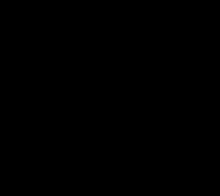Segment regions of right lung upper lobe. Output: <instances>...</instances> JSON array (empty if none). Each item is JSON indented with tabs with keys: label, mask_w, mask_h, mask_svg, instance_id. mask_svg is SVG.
<instances>
[{
	"label": "right lung upper lobe",
	"mask_w": 220,
	"mask_h": 196,
	"mask_svg": "<svg viewBox=\"0 0 220 196\" xmlns=\"http://www.w3.org/2000/svg\"><path fill=\"white\" fill-rule=\"evenodd\" d=\"M94 50L84 49L73 59V67L87 65L94 58ZM70 70L66 77L53 90V104L51 113L55 120L63 124L72 134H79L83 130V114L79 106L80 86L71 78Z\"/></svg>",
	"instance_id": "cb5924a9"
}]
</instances>
